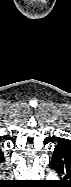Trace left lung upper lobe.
I'll use <instances>...</instances> for the list:
<instances>
[{"mask_svg":"<svg viewBox=\"0 0 71 187\" xmlns=\"http://www.w3.org/2000/svg\"><path fill=\"white\" fill-rule=\"evenodd\" d=\"M58 145H67V146L71 147V141L62 139L58 142Z\"/></svg>","mask_w":71,"mask_h":187,"instance_id":"obj_1","label":"left lung upper lobe"}]
</instances>
